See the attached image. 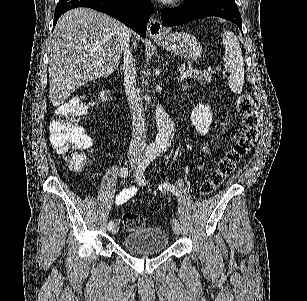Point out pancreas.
Here are the masks:
<instances>
[{
    "label": "pancreas",
    "instance_id": "cf45deb5",
    "mask_svg": "<svg viewBox=\"0 0 307 301\" xmlns=\"http://www.w3.org/2000/svg\"><path fill=\"white\" fill-rule=\"evenodd\" d=\"M212 70H194L192 74H190V78L193 80H200V84H206V82H211L212 78Z\"/></svg>",
    "mask_w": 307,
    "mask_h": 301
}]
</instances>
